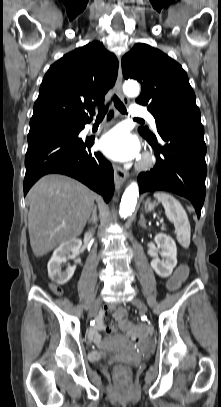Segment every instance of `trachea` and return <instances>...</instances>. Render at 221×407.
<instances>
[{"label":"trachea","instance_id":"3493384b","mask_svg":"<svg viewBox=\"0 0 221 407\" xmlns=\"http://www.w3.org/2000/svg\"><path fill=\"white\" fill-rule=\"evenodd\" d=\"M113 102H114L115 107L122 114H127V110H126L124 104L120 101V99L116 95L113 96ZM108 106H109V103L107 105H103V106L99 107L97 118L105 116V114L108 111ZM135 119L139 120V121H143V119H140V118H135Z\"/></svg>","mask_w":221,"mask_h":407}]
</instances>
